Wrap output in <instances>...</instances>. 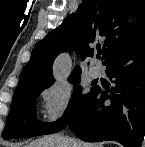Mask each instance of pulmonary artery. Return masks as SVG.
I'll return each instance as SVG.
<instances>
[{
  "mask_svg": "<svg viewBox=\"0 0 145 147\" xmlns=\"http://www.w3.org/2000/svg\"><path fill=\"white\" fill-rule=\"evenodd\" d=\"M89 73L92 77H98L101 74L100 68L97 66V62L94 60L93 65L89 70Z\"/></svg>",
  "mask_w": 145,
  "mask_h": 147,
  "instance_id": "pulmonary-artery-1",
  "label": "pulmonary artery"
}]
</instances>
